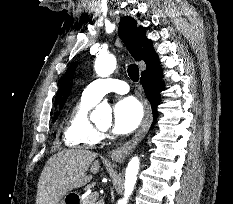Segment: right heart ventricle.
<instances>
[{"mask_svg": "<svg viewBox=\"0 0 233 204\" xmlns=\"http://www.w3.org/2000/svg\"><path fill=\"white\" fill-rule=\"evenodd\" d=\"M95 105L83 95L73 106L64 128L65 144L72 148H91L102 137L96 126L89 119V111Z\"/></svg>", "mask_w": 233, "mask_h": 204, "instance_id": "obj_1", "label": "right heart ventricle"}]
</instances>
